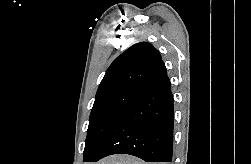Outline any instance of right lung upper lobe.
Wrapping results in <instances>:
<instances>
[{"label":"right lung upper lobe","instance_id":"cb5924a9","mask_svg":"<svg viewBox=\"0 0 251 164\" xmlns=\"http://www.w3.org/2000/svg\"><path fill=\"white\" fill-rule=\"evenodd\" d=\"M166 76V67L160 53L150 43L140 42L112 62L96 96L123 87L143 89Z\"/></svg>","mask_w":251,"mask_h":164}]
</instances>
